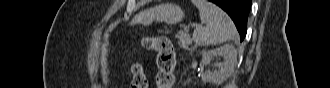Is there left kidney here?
<instances>
[{"mask_svg": "<svg viewBox=\"0 0 330 88\" xmlns=\"http://www.w3.org/2000/svg\"><path fill=\"white\" fill-rule=\"evenodd\" d=\"M214 57H223L224 61L215 64L218 70L203 73L202 80L207 83L220 84L233 73L237 64V50L232 44L211 49L202 55V64L210 65Z\"/></svg>", "mask_w": 330, "mask_h": 88, "instance_id": "1", "label": "left kidney"}]
</instances>
